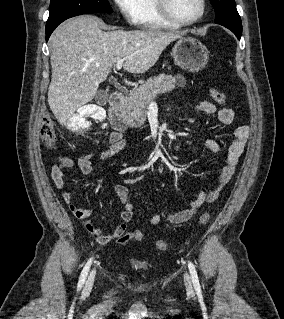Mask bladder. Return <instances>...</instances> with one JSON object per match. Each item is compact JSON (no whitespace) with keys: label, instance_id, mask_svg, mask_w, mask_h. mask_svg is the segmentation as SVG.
<instances>
[{"label":"bladder","instance_id":"bladder-1","mask_svg":"<svg viewBox=\"0 0 284 319\" xmlns=\"http://www.w3.org/2000/svg\"><path fill=\"white\" fill-rule=\"evenodd\" d=\"M131 264L134 268L138 270H146L149 266L146 262L140 260H133Z\"/></svg>","mask_w":284,"mask_h":319}]
</instances>
